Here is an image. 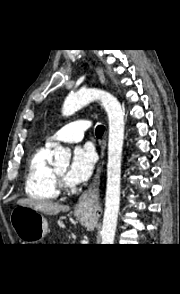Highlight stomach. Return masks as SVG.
<instances>
[{
  "mask_svg": "<svg viewBox=\"0 0 180 294\" xmlns=\"http://www.w3.org/2000/svg\"><path fill=\"white\" fill-rule=\"evenodd\" d=\"M76 217L86 226L93 227L90 216L86 212H77ZM11 225L24 244H37L41 241L48 229L46 218L34 209L18 205L11 212Z\"/></svg>",
  "mask_w": 180,
  "mask_h": 294,
  "instance_id": "1",
  "label": "stomach"
}]
</instances>
